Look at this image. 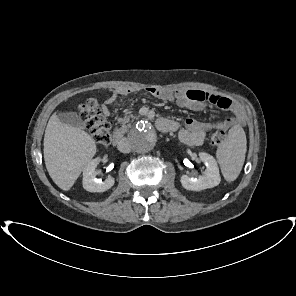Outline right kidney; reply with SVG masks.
<instances>
[{"label":"right kidney","mask_w":296,"mask_h":296,"mask_svg":"<svg viewBox=\"0 0 296 296\" xmlns=\"http://www.w3.org/2000/svg\"><path fill=\"white\" fill-rule=\"evenodd\" d=\"M101 161V158L91 160L83 170V188L89 192H104L110 189L115 180L109 176L105 181L96 178V167Z\"/></svg>","instance_id":"1"}]
</instances>
